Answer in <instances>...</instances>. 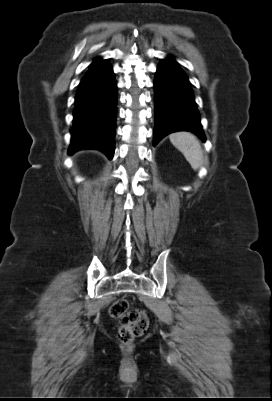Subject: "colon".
Here are the masks:
<instances>
[{
    "instance_id": "1",
    "label": "colon",
    "mask_w": 272,
    "mask_h": 401,
    "mask_svg": "<svg viewBox=\"0 0 272 401\" xmlns=\"http://www.w3.org/2000/svg\"><path fill=\"white\" fill-rule=\"evenodd\" d=\"M111 317L121 320L119 339L122 344L129 345L137 337L142 336L149 325L146 313L137 308H130L126 299H118L109 309Z\"/></svg>"
}]
</instances>
